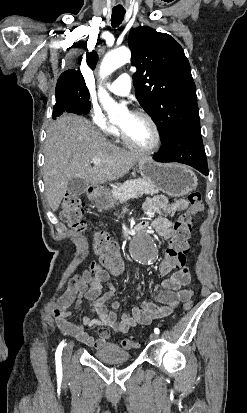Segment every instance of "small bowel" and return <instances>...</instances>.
<instances>
[{
	"mask_svg": "<svg viewBox=\"0 0 247 413\" xmlns=\"http://www.w3.org/2000/svg\"><path fill=\"white\" fill-rule=\"evenodd\" d=\"M144 208L158 234L162 237H171L174 233L172 223L162 214L187 211L189 203L183 199L169 203L166 196L155 195L147 198ZM109 271L102 262L92 261L85 269L75 274L68 283L62 307L55 315V322L64 334L73 336L81 343L96 349L115 347V342L109 340L110 333L107 328L116 333H126L136 325H148L155 319L170 315L179 303L187 301L192 295L191 290L185 288L190 283V270L186 266L178 267L177 271L172 272L171 277H161L163 290L157 295V303L145 301L140 308L135 307L130 313H122L118 320L115 310L121 307V303L113 300L116 289L110 280ZM136 292L138 294L142 292L141 286H137ZM85 302L88 303L89 311L95 317L86 315L83 324L103 326L97 338L91 336L83 325L68 320L71 313L66 310V307L74 304L75 308L80 310Z\"/></svg>",
	"mask_w": 247,
	"mask_h": 413,
	"instance_id": "c3829d8e",
	"label": "small bowel"
}]
</instances>
